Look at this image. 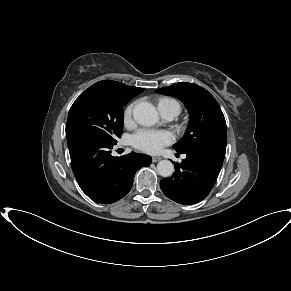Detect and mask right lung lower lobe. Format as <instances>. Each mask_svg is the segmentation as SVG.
<instances>
[{
  "label": "right lung lower lobe",
  "mask_w": 291,
  "mask_h": 291,
  "mask_svg": "<svg viewBox=\"0 0 291 291\" xmlns=\"http://www.w3.org/2000/svg\"><path fill=\"white\" fill-rule=\"evenodd\" d=\"M71 166L82 191L98 203H114L131 189L136 171L148 166V155L131 152L113 157L110 144L100 138L83 134H66Z\"/></svg>",
  "instance_id": "obj_1"
}]
</instances>
